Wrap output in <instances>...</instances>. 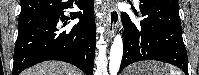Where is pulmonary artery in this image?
<instances>
[{"label":"pulmonary artery","mask_w":199,"mask_h":75,"mask_svg":"<svg viewBox=\"0 0 199 75\" xmlns=\"http://www.w3.org/2000/svg\"><path fill=\"white\" fill-rule=\"evenodd\" d=\"M135 3H136V4H138V3H139V1H138V0H136V1H135Z\"/></svg>","instance_id":"1"}]
</instances>
